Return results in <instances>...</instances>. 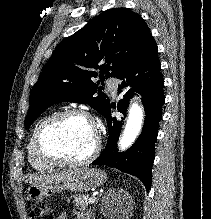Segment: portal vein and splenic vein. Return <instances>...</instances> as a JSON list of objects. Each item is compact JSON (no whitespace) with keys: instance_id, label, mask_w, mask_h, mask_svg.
<instances>
[{"instance_id":"portal-vein-and-splenic-vein-1","label":"portal vein and splenic vein","mask_w":211,"mask_h":219,"mask_svg":"<svg viewBox=\"0 0 211 219\" xmlns=\"http://www.w3.org/2000/svg\"><path fill=\"white\" fill-rule=\"evenodd\" d=\"M95 200H96V196H95V195H92L91 198H90L89 203H94Z\"/></svg>"}]
</instances>
